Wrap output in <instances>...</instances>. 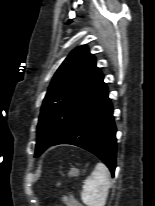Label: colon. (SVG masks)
Wrapping results in <instances>:
<instances>
[{
    "instance_id": "colon-1",
    "label": "colon",
    "mask_w": 155,
    "mask_h": 206,
    "mask_svg": "<svg viewBox=\"0 0 155 206\" xmlns=\"http://www.w3.org/2000/svg\"><path fill=\"white\" fill-rule=\"evenodd\" d=\"M70 200H71V206H82L74 198H71Z\"/></svg>"
}]
</instances>
